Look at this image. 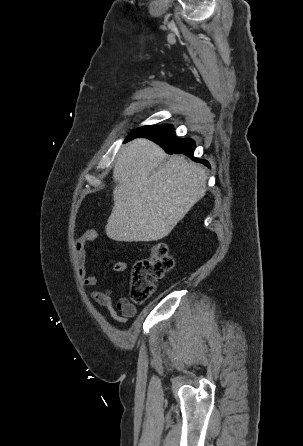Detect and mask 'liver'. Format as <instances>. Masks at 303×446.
Instances as JSON below:
<instances>
[{"label": "liver", "mask_w": 303, "mask_h": 446, "mask_svg": "<svg viewBox=\"0 0 303 446\" xmlns=\"http://www.w3.org/2000/svg\"><path fill=\"white\" fill-rule=\"evenodd\" d=\"M165 157L164 150L147 139H136L122 149L113 170L114 206L106 225L110 239L160 240L203 198L204 169L182 155L163 164Z\"/></svg>", "instance_id": "6515ba94"}]
</instances>
